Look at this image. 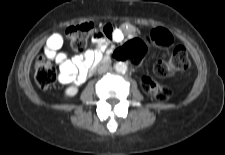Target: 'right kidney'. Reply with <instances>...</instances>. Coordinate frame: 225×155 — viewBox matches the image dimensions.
Instances as JSON below:
<instances>
[{"label":"right kidney","instance_id":"obj_1","mask_svg":"<svg viewBox=\"0 0 225 155\" xmlns=\"http://www.w3.org/2000/svg\"><path fill=\"white\" fill-rule=\"evenodd\" d=\"M77 92H78V88L75 86H71L66 89L65 95L68 97H72V96H75L77 94Z\"/></svg>","mask_w":225,"mask_h":155}]
</instances>
